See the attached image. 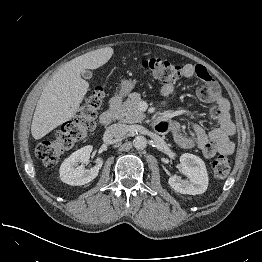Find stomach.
<instances>
[{
  "label": "stomach",
  "instance_id": "1",
  "mask_svg": "<svg viewBox=\"0 0 262 262\" xmlns=\"http://www.w3.org/2000/svg\"><path fill=\"white\" fill-rule=\"evenodd\" d=\"M135 85V80H123L121 83L120 93L126 96L129 92H131L134 89Z\"/></svg>",
  "mask_w": 262,
  "mask_h": 262
}]
</instances>
